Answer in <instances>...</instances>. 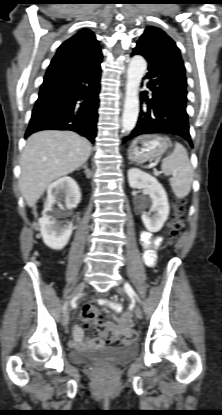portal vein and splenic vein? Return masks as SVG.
<instances>
[{"label":"portal vein and splenic vein","instance_id":"obj_1","mask_svg":"<svg viewBox=\"0 0 222 415\" xmlns=\"http://www.w3.org/2000/svg\"><path fill=\"white\" fill-rule=\"evenodd\" d=\"M155 164H151L150 167H153Z\"/></svg>","mask_w":222,"mask_h":415}]
</instances>
